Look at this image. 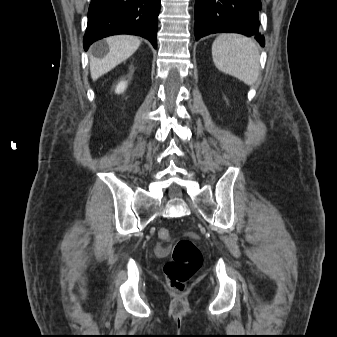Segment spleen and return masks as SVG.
Returning <instances> with one entry per match:
<instances>
[{"mask_svg":"<svg viewBox=\"0 0 337 337\" xmlns=\"http://www.w3.org/2000/svg\"><path fill=\"white\" fill-rule=\"evenodd\" d=\"M212 58L221 72L253 85L259 75L260 55L256 43L239 34H221L212 44Z\"/></svg>","mask_w":337,"mask_h":337,"instance_id":"obj_1","label":"spleen"}]
</instances>
